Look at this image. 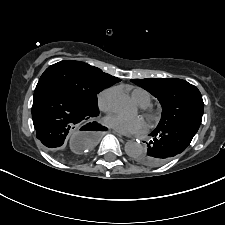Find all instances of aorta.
Returning a JSON list of instances; mask_svg holds the SVG:
<instances>
[{
    "label": "aorta",
    "mask_w": 225,
    "mask_h": 225,
    "mask_svg": "<svg viewBox=\"0 0 225 225\" xmlns=\"http://www.w3.org/2000/svg\"><path fill=\"white\" fill-rule=\"evenodd\" d=\"M110 103L117 112H127L132 107L129 97L121 89H116L112 92ZM144 150V146L139 141L130 140L125 144L126 154L133 158L140 156Z\"/></svg>",
    "instance_id": "1"
}]
</instances>
